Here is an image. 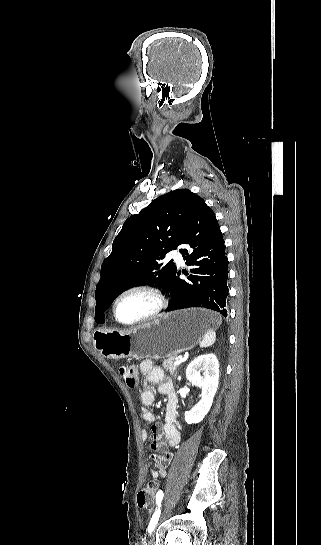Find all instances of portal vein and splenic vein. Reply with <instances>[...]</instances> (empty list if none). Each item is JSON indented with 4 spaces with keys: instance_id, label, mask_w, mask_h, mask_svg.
Segmentation results:
<instances>
[{
    "instance_id": "portal-vein-and-splenic-vein-1",
    "label": "portal vein and splenic vein",
    "mask_w": 321,
    "mask_h": 545,
    "mask_svg": "<svg viewBox=\"0 0 321 545\" xmlns=\"http://www.w3.org/2000/svg\"><path fill=\"white\" fill-rule=\"evenodd\" d=\"M180 359H183V355H176V361H180Z\"/></svg>"
}]
</instances>
